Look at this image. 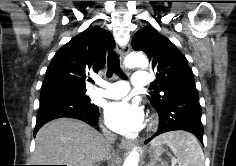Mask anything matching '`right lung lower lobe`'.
<instances>
[{
	"instance_id": "right-lung-lower-lobe-1",
	"label": "right lung lower lobe",
	"mask_w": 236,
	"mask_h": 166,
	"mask_svg": "<svg viewBox=\"0 0 236 166\" xmlns=\"http://www.w3.org/2000/svg\"><path fill=\"white\" fill-rule=\"evenodd\" d=\"M54 87V86H51ZM48 87V88H51ZM69 117L82 120L91 126L97 125L98 108H84L81 106H57L53 108H41L38 113L34 135L47 122L61 118Z\"/></svg>"
}]
</instances>
